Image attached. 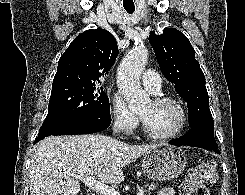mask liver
Instances as JSON below:
<instances>
[{"label": "liver", "instance_id": "liver-1", "mask_svg": "<svg viewBox=\"0 0 245 195\" xmlns=\"http://www.w3.org/2000/svg\"><path fill=\"white\" fill-rule=\"evenodd\" d=\"M158 145H129L101 134L47 137L31 160L30 195H77L80 183L74 175L120 184L122 168Z\"/></svg>", "mask_w": 245, "mask_h": 195}]
</instances>
